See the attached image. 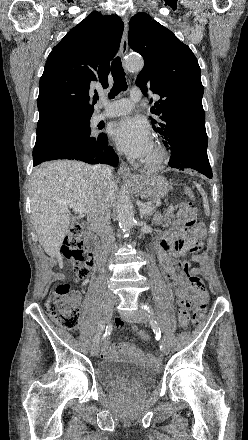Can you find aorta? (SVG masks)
I'll use <instances>...</instances> for the list:
<instances>
[{
    "label": "aorta",
    "mask_w": 248,
    "mask_h": 440,
    "mask_svg": "<svg viewBox=\"0 0 248 440\" xmlns=\"http://www.w3.org/2000/svg\"><path fill=\"white\" fill-rule=\"evenodd\" d=\"M144 62L141 57L130 56L125 61V68L130 72H138L143 68ZM117 219L123 232H130L134 226V207L130 198L129 190L123 186L117 198Z\"/></svg>",
    "instance_id": "762f6f07"
}]
</instances>
